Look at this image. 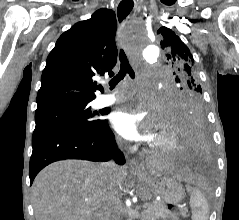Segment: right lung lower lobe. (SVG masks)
Listing matches in <instances>:
<instances>
[{
    "label": "right lung lower lobe",
    "instance_id": "98d812e1",
    "mask_svg": "<svg viewBox=\"0 0 239 220\" xmlns=\"http://www.w3.org/2000/svg\"><path fill=\"white\" fill-rule=\"evenodd\" d=\"M30 159V184L38 172L48 164L64 159L108 161L116 150L115 136L106 120L93 131H82L61 127L35 129L32 136ZM115 161L124 164L122 153L116 154Z\"/></svg>",
    "mask_w": 239,
    "mask_h": 220
}]
</instances>
